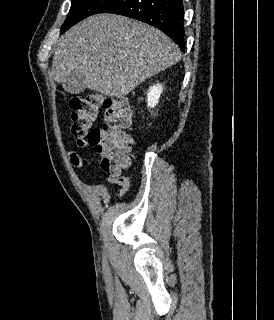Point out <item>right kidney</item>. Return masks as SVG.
I'll use <instances>...</instances> for the list:
<instances>
[{
  "mask_svg": "<svg viewBox=\"0 0 274 320\" xmlns=\"http://www.w3.org/2000/svg\"><path fill=\"white\" fill-rule=\"evenodd\" d=\"M162 86L161 84H155V86H151L147 92V108H155L158 104V100L162 94Z\"/></svg>",
  "mask_w": 274,
  "mask_h": 320,
  "instance_id": "1",
  "label": "right kidney"
}]
</instances>
